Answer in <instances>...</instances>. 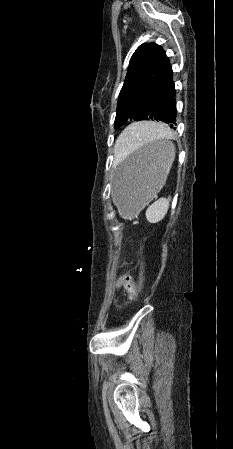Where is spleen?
Masks as SVG:
<instances>
[{
  "label": "spleen",
  "mask_w": 233,
  "mask_h": 449,
  "mask_svg": "<svg viewBox=\"0 0 233 449\" xmlns=\"http://www.w3.org/2000/svg\"><path fill=\"white\" fill-rule=\"evenodd\" d=\"M168 126L165 125H136L132 124L119 137L117 153L121 157L131 152L135 147L147 142H161ZM174 147V146H173ZM169 199L160 198L151 204L146 210V218L150 223L161 221L167 214Z\"/></svg>",
  "instance_id": "spleen-1"
}]
</instances>
